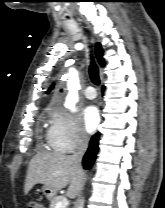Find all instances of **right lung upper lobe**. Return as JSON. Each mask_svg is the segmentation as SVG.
I'll list each match as a JSON object with an SVG mask.
<instances>
[{
    "label": "right lung upper lobe",
    "instance_id": "1",
    "mask_svg": "<svg viewBox=\"0 0 165 208\" xmlns=\"http://www.w3.org/2000/svg\"><path fill=\"white\" fill-rule=\"evenodd\" d=\"M102 54H103L102 47H101L100 43H98V44L96 45V56H97L98 61H99V63H100L101 66L104 65V62L100 59V57H101ZM52 89H53V85L48 89L47 93H48L50 90H52Z\"/></svg>",
    "mask_w": 165,
    "mask_h": 208
}]
</instances>
